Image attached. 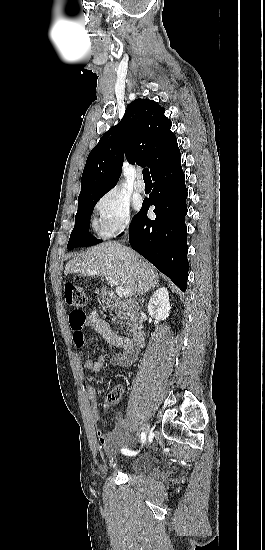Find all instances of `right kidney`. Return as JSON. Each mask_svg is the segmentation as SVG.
<instances>
[{
    "label": "right kidney",
    "mask_w": 265,
    "mask_h": 550,
    "mask_svg": "<svg viewBox=\"0 0 265 550\" xmlns=\"http://www.w3.org/2000/svg\"><path fill=\"white\" fill-rule=\"evenodd\" d=\"M170 309L169 292L166 287H162L150 298L148 312L152 317L158 320H166L169 316Z\"/></svg>",
    "instance_id": "ca27d5eb"
}]
</instances>
